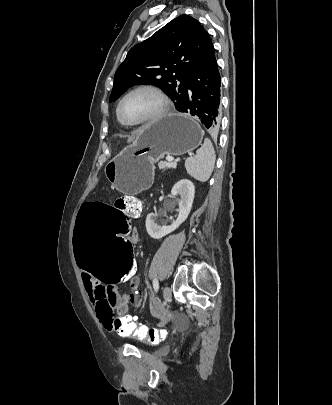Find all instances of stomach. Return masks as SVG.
Segmentation results:
<instances>
[{
  "label": "stomach",
  "mask_w": 332,
  "mask_h": 405,
  "mask_svg": "<svg viewBox=\"0 0 332 405\" xmlns=\"http://www.w3.org/2000/svg\"><path fill=\"white\" fill-rule=\"evenodd\" d=\"M134 143L104 169L111 185L124 194H138L153 181V164L165 155H183L201 145L204 131L187 114H167L143 127Z\"/></svg>",
  "instance_id": "1"
}]
</instances>
